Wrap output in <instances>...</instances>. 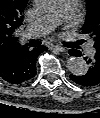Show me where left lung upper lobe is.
Segmentation results:
<instances>
[{"label": "left lung upper lobe", "mask_w": 100, "mask_h": 118, "mask_svg": "<svg viewBox=\"0 0 100 118\" xmlns=\"http://www.w3.org/2000/svg\"><path fill=\"white\" fill-rule=\"evenodd\" d=\"M82 32L94 41V48L100 52V0H87V15Z\"/></svg>", "instance_id": "1"}]
</instances>
